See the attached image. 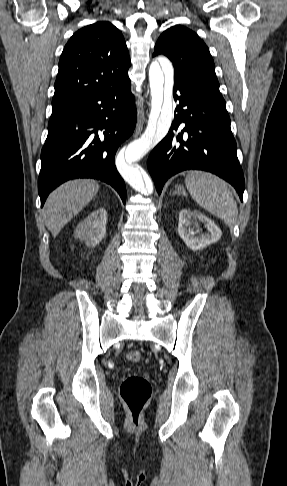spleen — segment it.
<instances>
[{
    "mask_svg": "<svg viewBox=\"0 0 287 486\" xmlns=\"http://www.w3.org/2000/svg\"><path fill=\"white\" fill-rule=\"evenodd\" d=\"M185 184L198 205L222 219L229 227L235 225L238 207L224 180L211 173L191 171L185 178Z\"/></svg>",
    "mask_w": 287,
    "mask_h": 486,
    "instance_id": "1",
    "label": "spleen"
}]
</instances>
